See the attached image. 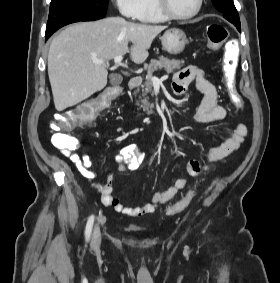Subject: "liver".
<instances>
[{
	"instance_id": "obj_1",
	"label": "liver",
	"mask_w": 280,
	"mask_h": 283,
	"mask_svg": "<svg viewBox=\"0 0 280 283\" xmlns=\"http://www.w3.org/2000/svg\"><path fill=\"white\" fill-rule=\"evenodd\" d=\"M166 26L146 25L109 17L66 27L57 35L48 52V76L55 108L63 111L89 98L107 84L104 64L130 52L134 63H143L152 41ZM132 43L129 51L128 44Z\"/></svg>"
}]
</instances>
